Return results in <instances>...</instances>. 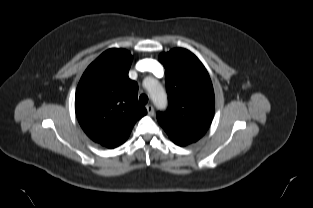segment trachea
Listing matches in <instances>:
<instances>
[{"instance_id":"1","label":"trachea","mask_w":313,"mask_h":208,"mask_svg":"<svg viewBox=\"0 0 313 208\" xmlns=\"http://www.w3.org/2000/svg\"><path fill=\"white\" fill-rule=\"evenodd\" d=\"M139 101L142 105H146L147 102H148V97L147 95L145 94H142L140 97H139Z\"/></svg>"}]
</instances>
